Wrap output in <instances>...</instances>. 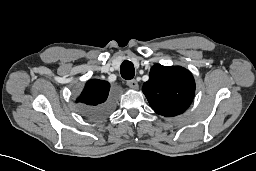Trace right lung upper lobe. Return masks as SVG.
<instances>
[{
	"mask_svg": "<svg viewBox=\"0 0 256 171\" xmlns=\"http://www.w3.org/2000/svg\"><path fill=\"white\" fill-rule=\"evenodd\" d=\"M109 90V82L99 79H91L86 82L85 87L76 102H80L83 109L96 107L110 99Z\"/></svg>",
	"mask_w": 256,
	"mask_h": 171,
	"instance_id": "cb5924a9",
	"label": "right lung upper lobe"
}]
</instances>
